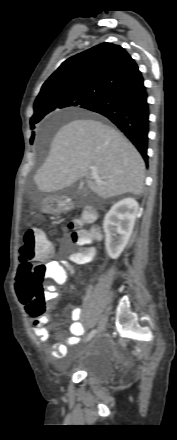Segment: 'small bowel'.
<instances>
[{
  "mask_svg": "<svg viewBox=\"0 0 177 440\" xmlns=\"http://www.w3.org/2000/svg\"><path fill=\"white\" fill-rule=\"evenodd\" d=\"M52 252H53V248H52ZM51 255L48 258H50ZM46 264L49 268L50 280L59 284L64 283L66 281L67 274L64 270V264L62 262L51 260L48 261ZM49 297L51 299H56L58 297V294L54 291H51L49 293ZM82 315H83L82 308L77 307L72 310L71 323L69 326L71 336L67 340L66 344L58 343L52 345L51 355L53 358L55 359L63 358L67 353L68 346H73L79 343L82 335L84 334V327L80 321ZM48 321H49V317L47 315L41 317H35V316L32 317V332L41 342H48L50 340L49 331L45 327V324H47Z\"/></svg>",
  "mask_w": 177,
  "mask_h": 440,
  "instance_id": "1",
  "label": "small bowel"
}]
</instances>
